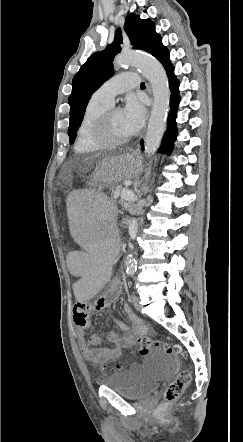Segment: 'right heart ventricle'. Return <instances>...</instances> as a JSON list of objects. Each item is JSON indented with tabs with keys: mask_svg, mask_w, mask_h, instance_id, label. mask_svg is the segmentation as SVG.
I'll list each match as a JSON object with an SVG mask.
<instances>
[{
	"mask_svg": "<svg viewBox=\"0 0 243 442\" xmlns=\"http://www.w3.org/2000/svg\"><path fill=\"white\" fill-rule=\"evenodd\" d=\"M111 105L96 100L93 96L87 103L81 121L77 129L76 140L74 143V150L79 154H87L102 149L94 142L91 136V128L94 121Z\"/></svg>",
	"mask_w": 243,
	"mask_h": 442,
	"instance_id": "right-heart-ventricle-1",
	"label": "right heart ventricle"
}]
</instances>
